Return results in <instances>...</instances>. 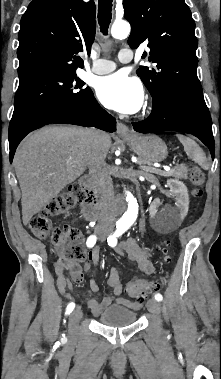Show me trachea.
<instances>
[{"label":"trachea","instance_id":"obj_1","mask_svg":"<svg viewBox=\"0 0 221 379\" xmlns=\"http://www.w3.org/2000/svg\"><path fill=\"white\" fill-rule=\"evenodd\" d=\"M112 1L113 0H98V21L100 30L104 35L108 34V28L112 18Z\"/></svg>","mask_w":221,"mask_h":379}]
</instances>
